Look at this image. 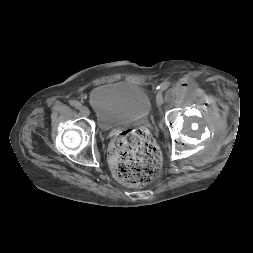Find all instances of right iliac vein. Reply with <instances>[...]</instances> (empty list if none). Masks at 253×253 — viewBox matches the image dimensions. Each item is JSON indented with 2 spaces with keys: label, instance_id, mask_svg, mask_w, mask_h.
Instances as JSON below:
<instances>
[{
  "label": "right iliac vein",
  "instance_id": "right-iliac-vein-1",
  "mask_svg": "<svg viewBox=\"0 0 253 253\" xmlns=\"http://www.w3.org/2000/svg\"><path fill=\"white\" fill-rule=\"evenodd\" d=\"M80 113L83 116H89L90 115V111H89V109L86 106H82L80 108Z\"/></svg>",
  "mask_w": 253,
  "mask_h": 253
}]
</instances>
